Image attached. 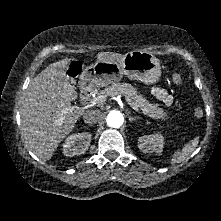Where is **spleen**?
<instances>
[{
    "mask_svg": "<svg viewBox=\"0 0 221 221\" xmlns=\"http://www.w3.org/2000/svg\"><path fill=\"white\" fill-rule=\"evenodd\" d=\"M198 143H199V139L195 138L190 143L185 145L182 150H178L174 152V154L172 155L170 159V164L174 165V164L183 162L195 150Z\"/></svg>",
    "mask_w": 221,
    "mask_h": 221,
    "instance_id": "spleen-1",
    "label": "spleen"
}]
</instances>
